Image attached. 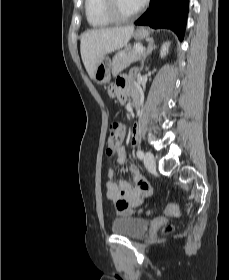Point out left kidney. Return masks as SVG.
I'll list each match as a JSON object with an SVG mask.
<instances>
[{"mask_svg":"<svg viewBox=\"0 0 229 280\" xmlns=\"http://www.w3.org/2000/svg\"><path fill=\"white\" fill-rule=\"evenodd\" d=\"M169 45H170L169 42H166V43H164V44L162 45L161 51H160L161 57L166 56V54L168 53Z\"/></svg>","mask_w":229,"mask_h":280,"instance_id":"left-kidney-1","label":"left kidney"}]
</instances>
